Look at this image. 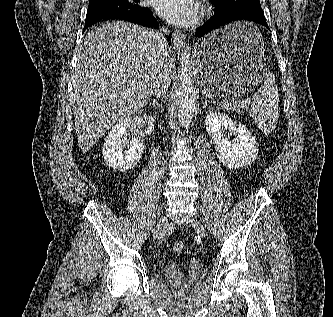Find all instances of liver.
Listing matches in <instances>:
<instances>
[{"label":"liver","instance_id":"obj_1","mask_svg":"<svg viewBox=\"0 0 333 317\" xmlns=\"http://www.w3.org/2000/svg\"><path fill=\"white\" fill-rule=\"evenodd\" d=\"M163 57L171 81L175 76L172 51L159 52L153 30L116 21L95 27L86 35L72 92L82 152L90 150L111 126L149 102Z\"/></svg>","mask_w":333,"mask_h":317}]
</instances>
